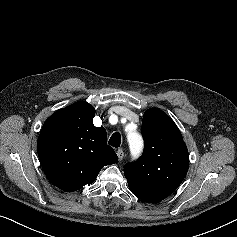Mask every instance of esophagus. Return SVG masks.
Segmentation results:
<instances>
[{"label":"esophagus","mask_w":237,"mask_h":237,"mask_svg":"<svg viewBox=\"0 0 237 237\" xmlns=\"http://www.w3.org/2000/svg\"><path fill=\"white\" fill-rule=\"evenodd\" d=\"M117 155H118L119 160L121 161L124 157V151L122 149H118Z\"/></svg>","instance_id":"esophagus-1"}]
</instances>
